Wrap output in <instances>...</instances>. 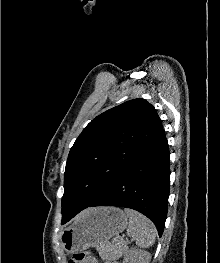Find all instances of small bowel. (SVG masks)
I'll return each mask as SVG.
<instances>
[{
	"mask_svg": "<svg viewBox=\"0 0 220 263\" xmlns=\"http://www.w3.org/2000/svg\"><path fill=\"white\" fill-rule=\"evenodd\" d=\"M85 263H98L97 260L94 257H89Z\"/></svg>",
	"mask_w": 220,
	"mask_h": 263,
	"instance_id": "small-bowel-1",
	"label": "small bowel"
}]
</instances>
